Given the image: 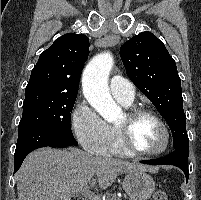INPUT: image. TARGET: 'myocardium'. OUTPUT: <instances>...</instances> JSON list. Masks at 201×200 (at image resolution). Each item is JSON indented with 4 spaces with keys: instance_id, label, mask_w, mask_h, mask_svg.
Returning <instances> with one entry per match:
<instances>
[{
    "instance_id": "f54148a6",
    "label": "myocardium",
    "mask_w": 201,
    "mask_h": 200,
    "mask_svg": "<svg viewBox=\"0 0 201 200\" xmlns=\"http://www.w3.org/2000/svg\"><path fill=\"white\" fill-rule=\"evenodd\" d=\"M144 117H149L153 119L160 126L163 132V135H164L163 144L160 148L156 150L141 151L137 149L132 142V139H131L132 127L137 121H139L141 118H144ZM126 119L127 120L125 124L117 125L116 128L119 133V138H120L122 147L130 155L140 156V157L158 156L164 153L168 149L170 144V132L166 123L158 114L144 108L134 107L126 113Z\"/></svg>"
}]
</instances>
